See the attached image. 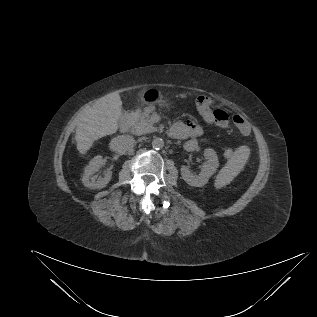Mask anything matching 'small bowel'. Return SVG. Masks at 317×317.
<instances>
[{
	"label": "small bowel",
	"instance_id": "1",
	"mask_svg": "<svg viewBox=\"0 0 317 317\" xmlns=\"http://www.w3.org/2000/svg\"><path fill=\"white\" fill-rule=\"evenodd\" d=\"M234 121L243 135H248L250 133V126L246 120L239 115L234 117ZM224 123L219 124L224 126ZM203 134V129L196 122L188 120L186 122H176L170 129V135L175 139H188L189 145H192L196 140Z\"/></svg>",
	"mask_w": 317,
	"mask_h": 317
}]
</instances>
